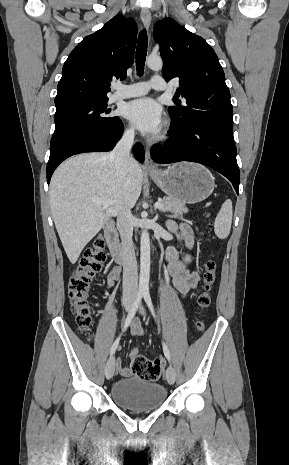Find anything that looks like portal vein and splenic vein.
<instances>
[{
  "label": "portal vein and splenic vein",
  "mask_w": 289,
  "mask_h": 465,
  "mask_svg": "<svg viewBox=\"0 0 289 465\" xmlns=\"http://www.w3.org/2000/svg\"><path fill=\"white\" fill-rule=\"evenodd\" d=\"M93 201L96 202L97 204L102 205L104 208L109 207L112 205L114 202L112 200H108L105 198H99V197H93ZM156 208H161L162 207V201H158L154 205Z\"/></svg>",
  "instance_id": "obj_1"
}]
</instances>
